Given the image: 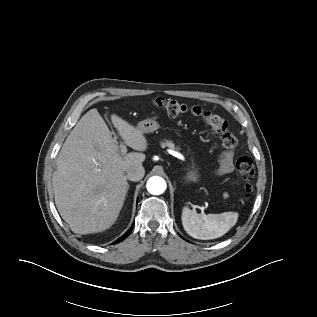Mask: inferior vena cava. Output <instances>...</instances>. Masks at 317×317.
<instances>
[{
  "label": "inferior vena cava",
  "mask_w": 317,
  "mask_h": 317,
  "mask_svg": "<svg viewBox=\"0 0 317 317\" xmlns=\"http://www.w3.org/2000/svg\"><path fill=\"white\" fill-rule=\"evenodd\" d=\"M145 170L143 166H134L130 168L126 174L128 180L139 181L144 177Z\"/></svg>",
  "instance_id": "obj_1"
}]
</instances>
